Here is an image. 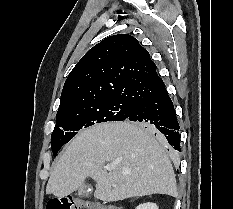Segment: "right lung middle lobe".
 I'll use <instances>...</instances> for the list:
<instances>
[{
    "label": "right lung middle lobe",
    "mask_w": 233,
    "mask_h": 209,
    "mask_svg": "<svg viewBox=\"0 0 233 209\" xmlns=\"http://www.w3.org/2000/svg\"><path fill=\"white\" fill-rule=\"evenodd\" d=\"M135 103L122 99H102L81 105L71 111L56 116V126L51 135V149L56 156L59 149L69 142L78 130L107 121H124L128 118ZM140 126L153 130L149 125Z\"/></svg>",
    "instance_id": "obj_1"
}]
</instances>
